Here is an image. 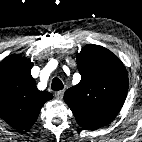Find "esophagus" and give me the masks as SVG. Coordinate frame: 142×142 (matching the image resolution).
Listing matches in <instances>:
<instances>
[{"mask_svg":"<svg viewBox=\"0 0 142 142\" xmlns=\"http://www.w3.org/2000/svg\"><path fill=\"white\" fill-rule=\"evenodd\" d=\"M64 90H60V91H58L57 93H56V97L58 98V99H62L63 98V95H64Z\"/></svg>","mask_w":142,"mask_h":142,"instance_id":"1","label":"esophagus"}]
</instances>
